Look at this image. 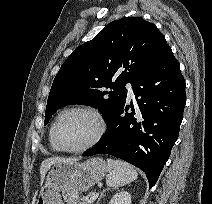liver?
I'll return each mask as SVG.
<instances>
[{
    "label": "liver",
    "instance_id": "obj_1",
    "mask_svg": "<svg viewBox=\"0 0 212 204\" xmlns=\"http://www.w3.org/2000/svg\"><path fill=\"white\" fill-rule=\"evenodd\" d=\"M69 161H72V159L59 158V157H50L45 159L40 166L41 183H43L45 179V175L52 165L56 163H63V162H69Z\"/></svg>",
    "mask_w": 212,
    "mask_h": 204
}]
</instances>
